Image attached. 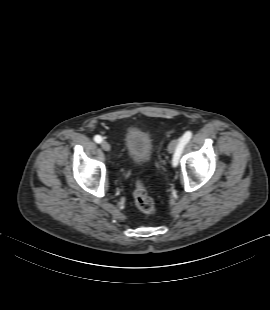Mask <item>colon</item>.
<instances>
[{
  "label": "colon",
  "instance_id": "5ec220e1",
  "mask_svg": "<svg viewBox=\"0 0 270 310\" xmlns=\"http://www.w3.org/2000/svg\"><path fill=\"white\" fill-rule=\"evenodd\" d=\"M134 201L137 208L145 214H153L156 211L155 202L142 181L136 183Z\"/></svg>",
  "mask_w": 270,
  "mask_h": 310
}]
</instances>
